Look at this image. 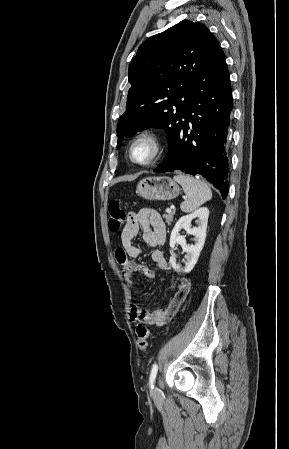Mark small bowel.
Instances as JSON below:
<instances>
[{"mask_svg": "<svg viewBox=\"0 0 289 449\" xmlns=\"http://www.w3.org/2000/svg\"><path fill=\"white\" fill-rule=\"evenodd\" d=\"M142 231L143 246H137L134 241L139 231ZM166 240V226L160 214L150 208H143L136 214H130L121 234L122 246L115 251L116 261L122 267L123 277L130 284H134L133 275L140 273L148 279H153L155 273L149 267L137 263L134 259L145 250L151 251V258L161 270H169L170 265L163 252L157 247ZM190 289V282L183 278L177 285V290L165 309L143 311L134 305L130 311V319L134 323L161 327L167 324L177 313Z\"/></svg>", "mask_w": 289, "mask_h": 449, "instance_id": "obj_1", "label": "small bowel"}]
</instances>
